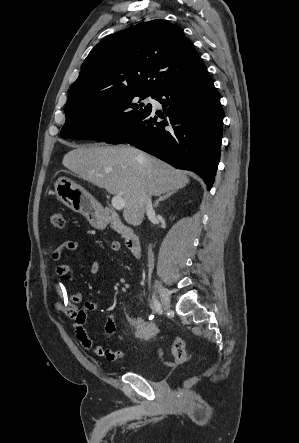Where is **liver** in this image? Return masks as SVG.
I'll return each mask as SVG.
<instances>
[{
	"label": "liver",
	"mask_w": 299,
	"mask_h": 443,
	"mask_svg": "<svg viewBox=\"0 0 299 443\" xmlns=\"http://www.w3.org/2000/svg\"><path fill=\"white\" fill-rule=\"evenodd\" d=\"M62 164L79 178L121 196L123 218L133 226L144 219V196H160L189 183L181 170L130 146H78L64 155Z\"/></svg>",
	"instance_id": "obj_1"
}]
</instances>
